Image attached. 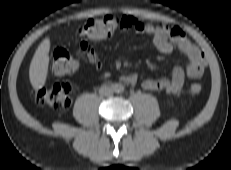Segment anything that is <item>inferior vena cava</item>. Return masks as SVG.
Segmentation results:
<instances>
[{
	"mask_svg": "<svg viewBox=\"0 0 231 170\" xmlns=\"http://www.w3.org/2000/svg\"><path fill=\"white\" fill-rule=\"evenodd\" d=\"M99 93L101 96H111L113 93V90L108 86H102L99 90Z\"/></svg>",
	"mask_w": 231,
	"mask_h": 170,
	"instance_id": "inferior-vena-cava-1",
	"label": "inferior vena cava"
}]
</instances>
